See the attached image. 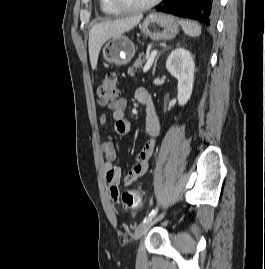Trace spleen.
<instances>
[{
  "label": "spleen",
  "instance_id": "spleen-1",
  "mask_svg": "<svg viewBox=\"0 0 265 269\" xmlns=\"http://www.w3.org/2000/svg\"><path fill=\"white\" fill-rule=\"evenodd\" d=\"M184 33L190 37H197L201 34V27L197 22L189 20H178Z\"/></svg>",
  "mask_w": 265,
  "mask_h": 269
}]
</instances>
